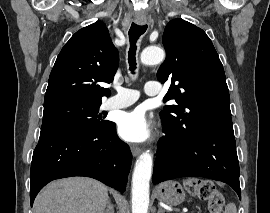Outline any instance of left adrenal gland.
<instances>
[{"label": "left adrenal gland", "mask_w": 270, "mask_h": 213, "mask_svg": "<svg viewBox=\"0 0 270 213\" xmlns=\"http://www.w3.org/2000/svg\"><path fill=\"white\" fill-rule=\"evenodd\" d=\"M158 213H164V210L161 208V206H158Z\"/></svg>", "instance_id": "1"}]
</instances>
